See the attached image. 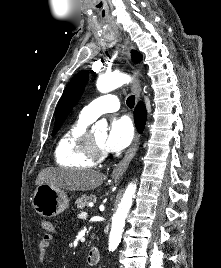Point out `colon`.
I'll return each instance as SVG.
<instances>
[{"mask_svg":"<svg viewBox=\"0 0 221 268\" xmlns=\"http://www.w3.org/2000/svg\"><path fill=\"white\" fill-rule=\"evenodd\" d=\"M39 224H40V227H41L45 232H50V231H52L53 228H54L53 224H52L49 220H46V219H42V220H40Z\"/></svg>","mask_w":221,"mask_h":268,"instance_id":"1","label":"colon"}]
</instances>
